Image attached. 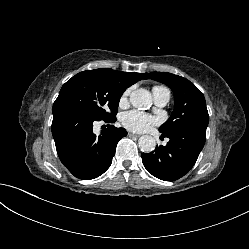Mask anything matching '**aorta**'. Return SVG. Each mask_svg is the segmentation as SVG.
<instances>
[{"label": "aorta", "mask_w": 249, "mask_h": 249, "mask_svg": "<svg viewBox=\"0 0 249 249\" xmlns=\"http://www.w3.org/2000/svg\"><path fill=\"white\" fill-rule=\"evenodd\" d=\"M131 104L138 109H144L152 104V96L146 89H137L130 94ZM139 148L143 152H151L155 149L156 142L152 136L144 135L139 138Z\"/></svg>", "instance_id": "aorta-1"}]
</instances>
